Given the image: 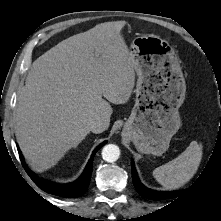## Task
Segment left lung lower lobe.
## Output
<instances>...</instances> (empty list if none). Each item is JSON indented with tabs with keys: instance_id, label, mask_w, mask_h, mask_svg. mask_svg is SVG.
Returning <instances> with one entry per match:
<instances>
[{
	"instance_id": "obj_1",
	"label": "left lung lower lobe",
	"mask_w": 221,
	"mask_h": 221,
	"mask_svg": "<svg viewBox=\"0 0 221 221\" xmlns=\"http://www.w3.org/2000/svg\"><path fill=\"white\" fill-rule=\"evenodd\" d=\"M131 169H132V178H133V183L138 191L139 194L142 196L152 199V200H163V199H169V198H174L180 195H183L186 191H171V192H163V191H156V190H151L147 187H145L139 180L134 162H131Z\"/></svg>"
}]
</instances>
